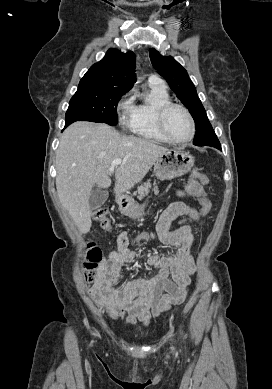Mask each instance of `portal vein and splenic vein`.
I'll return each mask as SVG.
<instances>
[{"label": "portal vein and splenic vein", "instance_id": "portal-vein-and-splenic-vein-1", "mask_svg": "<svg viewBox=\"0 0 272 389\" xmlns=\"http://www.w3.org/2000/svg\"><path fill=\"white\" fill-rule=\"evenodd\" d=\"M124 160H121V159H115L112 161V164H111V167L108 169V173H113L114 172V169L116 167H118L121 163H123Z\"/></svg>", "mask_w": 272, "mask_h": 389}]
</instances>
